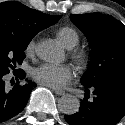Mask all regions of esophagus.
I'll use <instances>...</instances> for the list:
<instances>
[{
  "instance_id": "obj_1",
  "label": "esophagus",
  "mask_w": 125,
  "mask_h": 125,
  "mask_svg": "<svg viewBox=\"0 0 125 125\" xmlns=\"http://www.w3.org/2000/svg\"><path fill=\"white\" fill-rule=\"evenodd\" d=\"M53 92L57 95H60V96L65 94V91L60 90V89H53Z\"/></svg>"
}]
</instances>
